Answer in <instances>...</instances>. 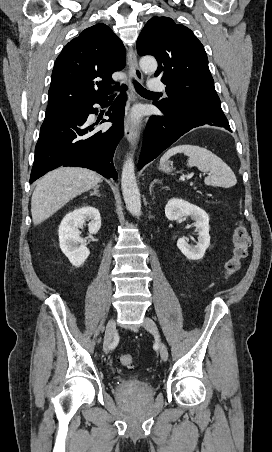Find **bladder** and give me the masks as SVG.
I'll return each instance as SVG.
<instances>
[{"label": "bladder", "mask_w": 272, "mask_h": 452, "mask_svg": "<svg viewBox=\"0 0 272 452\" xmlns=\"http://www.w3.org/2000/svg\"><path fill=\"white\" fill-rule=\"evenodd\" d=\"M136 382H137L138 384H144V383H145V381L142 380V379H138V380H136Z\"/></svg>", "instance_id": "bladder-1"}]
</instances>
